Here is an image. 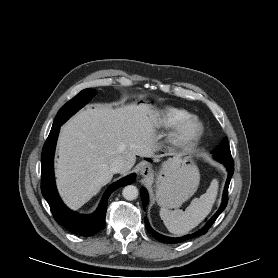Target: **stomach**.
<instances>
[{
  "instance_id": "obj_1",
  "label": "stomach",
  "mask_w": 278,
  "mask_h": 278,
  "mask_svg": "<svg viewBox=\"0 0 278 278\" xmlns=\"http://www.w3.org/2000/svg\"><path fill=\"white\" fill-rule=\"evenodd\" d=\"M198 168L181 154H173L162 164L156 178V199L162 207L177 208L197 190Z\"/></svg>"
}]
</instances>
